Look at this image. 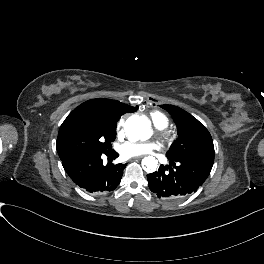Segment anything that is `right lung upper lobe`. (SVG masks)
Here are the masks:
<instances>
[{
  "instance_id": "cb5924a9",
  "label": "right lung upper lobe",
  "mask_w": 264,
  "mask_h": 264,
  "mask_svg": "<svg viewBox=\"0 0 264 264\" xmlns=\"http://www.w3.org/2000/svg\"><path fill=\"white\" fill-rule=\"evenodd\" d=\"M100 105L88 108L78 106L62 123L56 142L58 155L69 177L78 183L105 166L102 154H114L111 142L116 138L118 119L134 112L138 106L108 100H94Z\"/></svg>"
}]
</instances>
